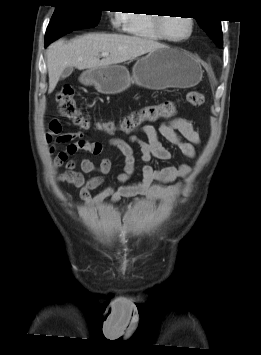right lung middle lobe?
<instances>
[{"instance_id":"1","label":"right lung middle lobe","mask_w":261,"mask_h":355,"mask_svg":"<svg viewBox=\"0 0 261 355\" xmlns=\"http://www.w3.org/2000/svg\"><path fill=\"white\" fill-rule=\"evenodd\" d=\"M91 6L92 3L88 0H71L57 5L45 38L67 30L95 27L100 20L102 10Z\"/></svg>"}]
</instances>
